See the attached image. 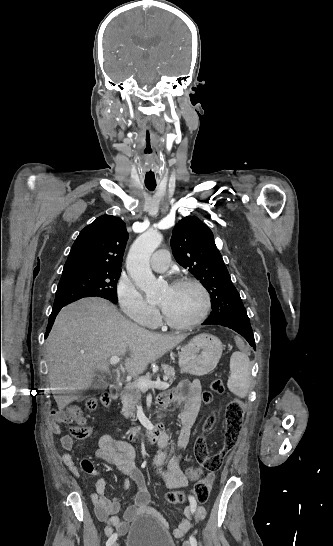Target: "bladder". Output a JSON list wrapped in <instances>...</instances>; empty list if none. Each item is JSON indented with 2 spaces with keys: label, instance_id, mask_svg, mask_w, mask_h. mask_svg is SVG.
<instances>
[{
  "label": "bladder",
  "instance_id": "obj_1",
  "mask_svg": "<svg viewBox=\"0 0 333 546\" xmlns=\"http://www.w3.org/2000/svg\"><path fill=\"white\" fill-rule=\"evenodd\" d=\"M126 546H176L173 537L153 516L138 517L127 528Z\"/></svg>",
  "mask_w": 333,
  "mask_h": 546
}]
</instances>
